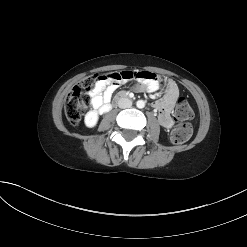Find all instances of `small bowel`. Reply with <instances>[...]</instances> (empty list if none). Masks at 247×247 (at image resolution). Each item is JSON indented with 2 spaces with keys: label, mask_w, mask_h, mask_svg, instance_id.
Here are the masks:
<instances>
[{
  "label": "small bowel",
  "mask_w": 247,
  "mask_h": 247,
  "mask_svg": "<svg viewBox=\"0 0 247 247\" xmlns=\"http://www.w3.org/2000/svg\"><path fill=\"white\" fill-rule=\"evenodd\" d=\"M126 82L139 83L136 88L149 93L156 92L163 84L165 86V95L162 99L154 102V108L159 112L158 120L162 127L169 129L173 126L174 120L171 114L179 97L178 86L170 79H164L161 82L151 70L112 71L102 75V78L89 93L92 108L101 113L110 110V101L114 92L120 84Z\"/></svg>",
  "instance_id": "c3829d8e"
}]
</instances>
